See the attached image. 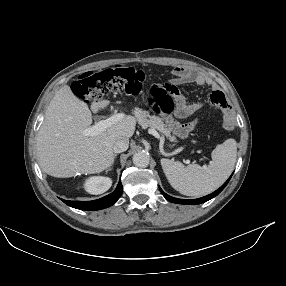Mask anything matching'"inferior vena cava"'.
<instances>
[{
    "label": "inferior vena cava",
    "instance_id": "obj_1",
    "mask_svg": "<svg viewBox=\"0 0 286 286\" xmlns=\"http://www.w3.org/2000/svg\"><path fill=\"white\" fill-rule=\"evenodd\" d=\"M128 145H129V140L127 138H119L113 146V151L115 153L124 152L128 149Z\"/></svg>",
    "mask_w": 286,
    "mask_h": 286
}]
</instances>
